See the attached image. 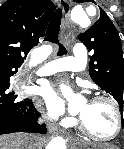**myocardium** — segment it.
<instances>
[{"instance_id":"f54148a6","label":"myocardium","mask_w":124,"mask_h":149,"mask_svg":"<svg viewBox=\"0 0 124 149\" xmlns=\"http://www.w3.org/2000/svg\"><path fill=\"white\" fill-rule=\"evenodd\" d=\"M90 102L91 103H93V102H107L112 106L114 113L116 115V121H117L116 130L109 137L97 136L86 126V124L81 119V117L77 118V123H78L79 129L86 136H88L91 139L98 141V142H111V141H114L115 139H117L124 129V113L122 112L118 102L116 100H114L113 98H111L109 96H105V95L94 96L90 99Z\"/></svg>"}]
</instances>
